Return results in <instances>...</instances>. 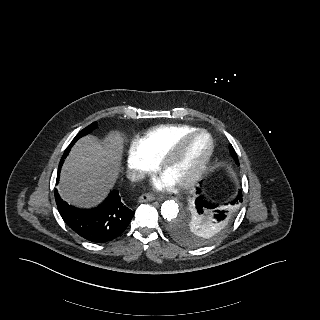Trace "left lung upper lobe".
Listing matches in <instances>:
<instances>
[{"instance_id": "left-lung-upper-lobe-1", "label": "left lung upper lobe", "mask_w": 320, "mask_h": 320, "mask_svg": "<svg viewBox=\"0 0 320 320\" xmlns=\"http://www.w3.org/2000/svg\"><path fill=\"white\" fill-rule=\"evenodd\" d=\"M229 150H230V154L233 157V159L235 160L236 164H239L237 154H236L232 145L229 146ZM188 219H189V223H190L192 229L203 228V229L209 230L211 228V223H210L209 219L200 220L199 217H197L196 215L194 216L191 213H190Z\"/></svg>"}]
</instances>
